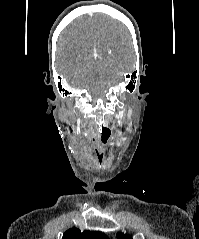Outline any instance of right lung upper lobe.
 <instances>
[{"label": "right lung upper lobe", "instance_id": "1", "mask_svg": "<svg viewBox=\"0 0 199 239\" xmlns=\"http://www.w3.org/2000/svg\"><path fill=\"white\" fill-rule=\"evenodd\" d=\"M62 239H109L105 234L96 231L81 232L77 228L66 231Z\"/></svg>", "mask_w": 199, "mask_h": 239}]
</instances>
